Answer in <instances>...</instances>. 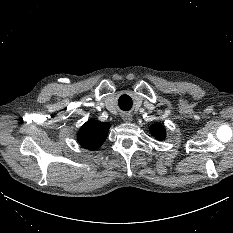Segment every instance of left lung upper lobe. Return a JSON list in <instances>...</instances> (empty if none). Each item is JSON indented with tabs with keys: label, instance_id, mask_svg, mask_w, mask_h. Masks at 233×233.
Listing matches in <instances>:
<instances>
[{
	"label": "left lung upper lobe",
	"instance_id": "5c2ea615",
	"mask_svg": "<svg viewBox=\"0 0 233 233\" xmlns=\"http://www.w3.org/2000/svg\"><path fill=\"white\" fill-rule=\"evenodd\" d=\"M150 132L158 139L162 140L165 138V129L160 125H153L150 128Z\"/></svg>",
	"mask_w": 233,
	"mask_h": 233
}]
</instances>
